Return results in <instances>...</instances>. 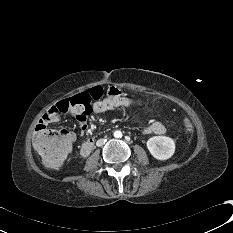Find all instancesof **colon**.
<instances>
[{"label": "colon", "instance_id": "1", "mask_svg": "<svg viewBox=\"0 0 233 233\" xmlns=\"http://www.w3.org/2000/svg\"><path fill=\"white\" fill-rule=\"evenodd\" d=\"M107 93L102 86H93L85 91L61 101L62 108H73L88 111L92 104L100 100ZM187 133L193 132V125L189 119H184ZM33 145L40 155L42 162L50 168H59L69 157L73 141L67 130L54 131L37 127L33 136Z\"/></svg>", "mask_w": 233, "mask_h": 233}]
</instances>
